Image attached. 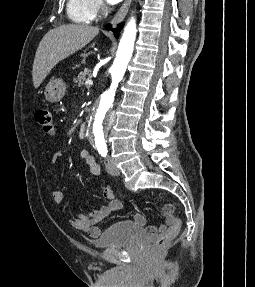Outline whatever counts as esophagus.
Here are the masks:
<instances>
[{
    "label": "esophagus",
    "instance_id": "1",
    "mask_svg": "<svg viewBox=\"0 0 255 287\" xmlns=\"http://www.w3.org/2000/svg\"><path fill=\"white\" fill-rule=\"evenodd\" d=\"M132 0H124L122 6L119 8L117 13L114 15L113 19L111 20V24L116 26L123 18L127 15L128 10L130 8Z\"/></svg>",
    "mask_w": 255,
    "mask_h": 287
}]
</instances>
